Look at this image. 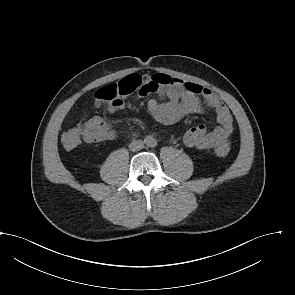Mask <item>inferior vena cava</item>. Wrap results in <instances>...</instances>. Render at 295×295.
<instances>
[{
  "label": "inferior vena cava",
  "mask_w": 295,
  "mask_h": 295,
  "mask_svg": "<svg viewBox=\"0 0 295 295\" xmlns=\"http://www.w3.org/2000/svg\"><path fill=\"white\" fill-rule=\"evenodd\" d=\"M144 148V143L141 140H136L130 143L129 149L133 152L140 151Z\"/></svg>",
  "instance_id": "602c4592"
}]
</instances>
